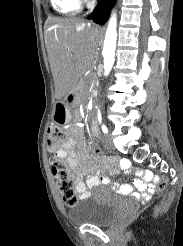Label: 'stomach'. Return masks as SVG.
Instances as JSON below:
<instances>
[{
  "label": "stomach",
  "instance_id": "obj_1",
  "mask_svg": "<svg viewBox=\"0 0 183 246\" xmlns=\"http://www.w3.org/2000/svg\"><path fill=\"white\" fill-rule=\"evenodd\" d=\"M54 116L60 120V122L55 120L58 123H67L70 119V113H69L68 109L64 108V107L57 108L54 111Z\"/></svg>",
  "mask_w": 183,
  "mask_h": 246
}]
</instances>
